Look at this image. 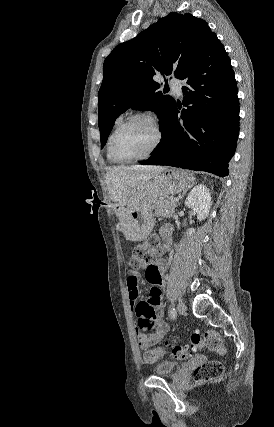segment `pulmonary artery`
I'll return each instance as SVG.
<instances>
[{
	"instance_id": "obj_1",
	"label": "pulmonary artery",
	"mask_w": 274,
	"mask_h": 427,
	"mask_svg": "<svg viewBox=\"0 0 274 427\" xmlns=\"http://www.w3.org/2000/svg\"><path fill=\"white\" fill-rule=\"evenodd\" d=\"M171 88L177 96L180 97L182 95V85L179 82L171 84Z\"/></svg>"
}]
</instances>
